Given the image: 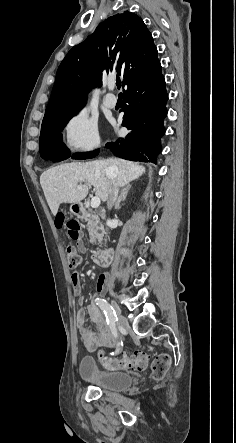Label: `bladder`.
<instances>
[{"label": "bladder", "instance_id": "1", "mask_svg": "<svg viewBox=\"0 0 236 443\" xmlns=\"http://www.w3.org/2000/svg\"><path fill=\"white\" fill-rule=\"evenodd\" d=\"M79 372L83 381L101 389L121 392L133 385L129 374L109 369L101 370L91 357L81 359Z\"/></svg>", "mask_w": 236, "mask_h": 443}]
</instances>
